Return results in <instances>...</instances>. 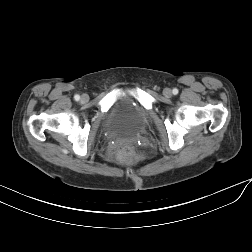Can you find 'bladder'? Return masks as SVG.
I'll list each match as a JSON object with an SVG mask.
<instances>
[{
  "mask_svg": "<svg viewBox=\"0 0 252 252\" xmlns=\"http://www.w3.org/2000/svg\"><path fill=\"white\" fill-rule=\"evenodd\" d=\"M149 113L141 102L125 91L114 103L101 125L104 134L133 138L147 125Z\"/></svg>",
  "mask_w": 252,
  "mask_h": 252,
  "instance_id": "obj_1",
  "label": "bladder"
}]
</instances>
